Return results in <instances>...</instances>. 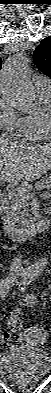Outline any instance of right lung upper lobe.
Segmentation results:
<instances>
[{"mask_svg": "<svg viewBox=\"0 0 51 393\" xmlns=\"http://www.w3.org/2000/svg\"><path fill=\"white\" fill-rule=\"evenodd\" d=\"M1 62H2V61H1V58H0V68H1Z\"/></svg>", "mask_w": 51, "mask_h": 393, "instance_id": "cb5924a9", "label": "right lung upper lobe"}]
</instances>
